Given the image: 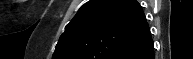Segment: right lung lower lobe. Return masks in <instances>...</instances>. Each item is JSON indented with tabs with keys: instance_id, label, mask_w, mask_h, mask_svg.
I'll list each match as a JSON object with an SVG mask.
<instances>
[{
	"instance_id": "right-lung-lower-lobe-1",
	"label": "right lung lower lobe",
	"mask_w": 193,
	"mask_h": 59,
	"mask_svg": "<svg viewBox=\"0 0 193 59\" xmlns=\"http://www.w3.org/2000/svg\"><path fill=\"white\" fill-rule=\"evenodd\" d=\"M125 59H155L153 40L148 41L144 46Z\"/></svg>"
}]
</instances>
